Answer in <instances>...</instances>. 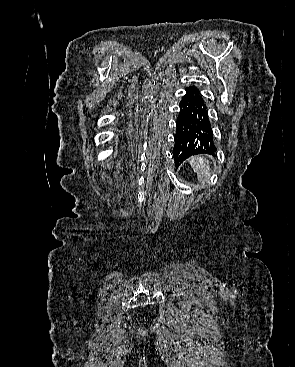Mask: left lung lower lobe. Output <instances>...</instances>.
Returning <instances> with one entry per match:
<instances>
[{
	"instance_id": "obj_1",
	"label": "left lung lower lobe",
	"mask_w": 295,
	"mask_h": 367,
	"mask_svg": "<svg viewBox=\"0 0 295 367\" xmlns=\"http://www.w3.org/2000/svg\"><path fill=\"white\" fill-rule=\"evenodd\" d=\"M177 131L173 157L175 165L197 154H213L216 151L208 108L195 86L186 88V94L179 103Z\"/></svg>"
}]
</instances>
